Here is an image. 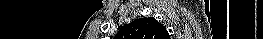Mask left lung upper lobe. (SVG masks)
I'll use <instances>...</instances> for the list:
<instances>
[{
	"label": "left lung upper lobe",
	"instance_id": "left-lung-upper-lobe-1",
	"mask_svg": "<svg viewBox=\"0 0 263 39\" xmlns=\"http://www.w3.org/2000/svg\"><path fill=\"white\" fill-rule=\"evenodd\" d=\"M117 39H170L166 28L152 17L136 19L124 25Z\"/></svg>",
	"mask_w": 263,
	"mask_h": 39
}]
</instances>
